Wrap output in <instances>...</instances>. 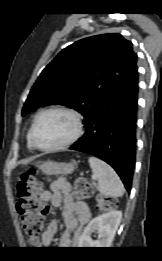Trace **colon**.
<instances>
[{"label": "colon", "instance_id": "1", "mask_svg": "<svg viewBox=\"0 0 162 261\" xmlns=\"http://www.w3.org/2000/svg\"><path fill=\"white\" fill-rule=\"evenodd\" d=\"M41 185L35 178V171L29 170L23 174L17 184V211L26 236L30 240H37L43 228V218L46 208L39 200ZM94 187L85 178H78L74 182V197L77 201L93 198ZM116 206L115 199L99 195L96 198V207L99 210H108Z\"/></svg>", "mask_w": 162, "mask_h": 261}]
</instances>
